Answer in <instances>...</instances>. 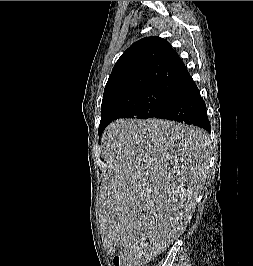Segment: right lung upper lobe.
<instances>
[{
  "mask_svg": "<svg viewBox=\"0 0 253 266\" xmlns=\"http://www.w3.org/2000/svg\"><path fill=\"white\" fill-rule=\"evenodd\" d=\"M188 74L187 68L160 37L133 43L118 59L104 89L102 104L132 90L154 84H174Z\"/></svg>",
  "mask_w": 253,
  "mask_h": 266,
  "instance_id": "obj_1",
  "label": "right lung upper lobe"
}]
</instances>
